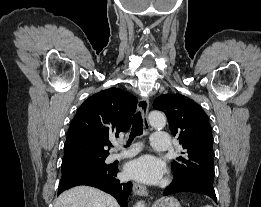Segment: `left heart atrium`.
Returning <instances> with one entry per match:
<instances>
[{
  "instance_id": "obj_1",
  "label": "left heart atrium",
  "mask_w": 261,
  "mask_h": 207,
  "mask_svg": "<svg viewBox=\"0 0 261 207\" xmlns=\"http://www.w3.org/2000/svg\"><path fill=\"white\" fill-rule=\"evenodd\" d=\"M128 178L144 183L158 182L164 173V163L152 155H143L130 161L124 170Z\"/></svg>"
}]
</instances>
